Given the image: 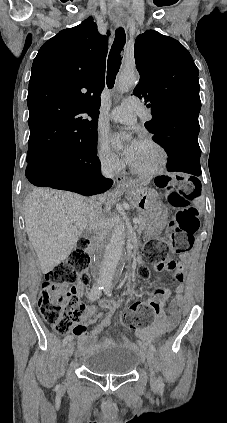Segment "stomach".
Listing matches in <instances>:
<instances>
[{"instance_id": "stomach-1", "label": "stomach", "mask_w": 227, "mask_h": 423, "mask_svg": "<svg viewBox=\"0 0 227 423\" xmlns=\"http://www.w3.org/2000/svg\"><path fill=\"white\" fill-rule=\"evenodd\" d=\"M121 190L131 194L132 198L135 200L136 208L140 213H147L153 208L156 200H158V194L153 190V188H144L141 184H134L130 182L127 186H123Z\"/></svg>"}]
</instances>
